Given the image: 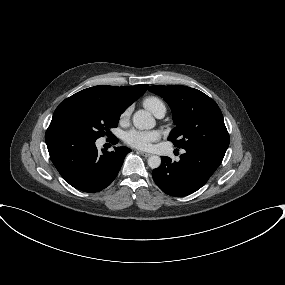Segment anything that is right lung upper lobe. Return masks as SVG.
Listing matches in <instances>:
<instances>
[{"label":"right lung upper lobe","mask_w":285,"mask_h":285,"mask_svg":"<svg viewBox=\"0 0 285 285\" xmlns=\"http://www.w3.org/2000/svg\"><path fill=\"white\" fill-rule=\"evenodd\" d=\"M148 88L147 84L135 86L100 85L84 89L69 97V99H91L110 103L125 110L138 99Z\"/></svg>","instance_id":"1"}]
</instances>
